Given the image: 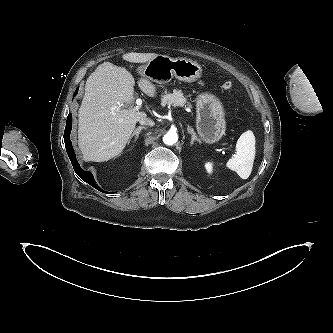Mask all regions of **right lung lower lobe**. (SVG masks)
Listing matches in <instances>:
<instances>
[{
	"label": "right lung lower lobe",
	"instance_id": "right-lung-lower-lobe-1",
	"mask_svg": "<svg viewBox=\"0 0 333 333\" xmlns=\"http://www.w3.org/2000/svg\"><path fill=\"white\" fill-rule=\"evenodd\" d=\"M78 92V89L76 90V92L74 93V95H76ZM72 129V115L69 114L67 117V121H66V127H65V131H64V142H65V147H66V151L67 154L70 158V161L73 165L74 171L78 174V176L84 180L85 182H87L88 184H90L91 186H93L94 188H96L97 190L104 192V193H108L103 191L97 184L96 181L93 177V175L90 172L84 171L83 169H81L77 159H76V155L74 152V149L72 147V143L70 140V132Z\"/></svg>",
	"mask_w": 333,
	"mask_h": 333
}]
</instances>
